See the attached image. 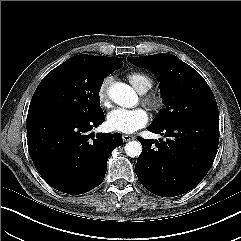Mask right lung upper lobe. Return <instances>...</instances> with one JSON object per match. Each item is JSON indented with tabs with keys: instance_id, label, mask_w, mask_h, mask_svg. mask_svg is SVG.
I'll use <instances>...</instances> for the list:
<instances>
[{
	"instance_id": "cb5924a9",
	"label": "right lung upper lobe",
	"mask_w": 241,
	"mask_h": 241,
	"mask_svg": "<svg viewBox=\"0 0 241 241\" xmlns=\"http://www.w3.org/2000/svg\"><path fill=\"white\" fill-rule=\"evenodd\" d=\"M77 60L89 66H96L100 68L122 67L121 60L113 57L92 56L81 54L74 56Z\"/></svg>"
}]
</instances>
